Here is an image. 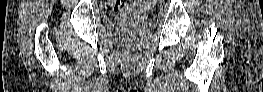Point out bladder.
<instances>
[{"mask_svg": "<svg viewBox=\"0 0 263 92\" xmlns=\"http://www.w3.org/2000/svg\"><path fill=\"white\" fill-rule=\"evenodd\" d=\"M138 16L140 18H146L147 13L146 12H137V11H127V12H117L115 17L116 18H122V17H133Z\"/></svg>", "mask_w": 263, "mask_h": 92, "instance_id": "bladder-1", "label": "bladder"}]
</instances>
